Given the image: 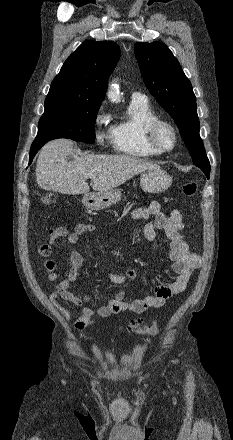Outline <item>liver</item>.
Returning <instances> with one entry per match:
<instances>
[{"label": "liver", "instance_id": "obj_1", "mask_svg": "<svg viewBox=\"0 0 233 440\" xmlns=\"http://www.w3.org/2000/svg\"><path fill=\"white\" fill-rule=\"evenodd\" d=\"M73 142L56 139L41 150L36 164L37 185L45 190L79 195L89 192L85 174H92L90 186L105 192L120 186L133 176L160 167L150 161L127 155H86L73 153ZM72 156V161L67 157Z\"/></svg>", "mask_w": 233, "mask_h": 440}]
</instances>
